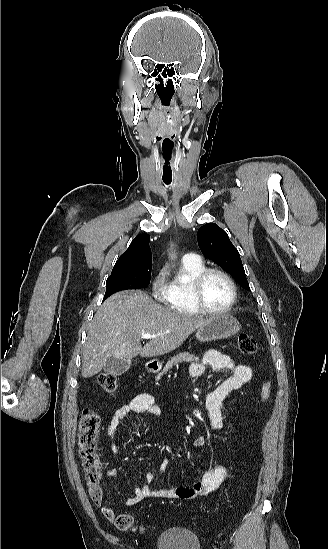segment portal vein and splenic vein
Listing matches in <instances>:
<instances>
[{"instance_id": "1", "label": "portal vein and splenic vein", "mask_w": 328, "mask_h": 549, "mask_svg": "<svg viewBox=\"0 0 328 549\" xmlns=\"http://www.w3.org/2000/svg\"><path fill=\"white\" fill-rule=\"evenodd\" d=\"M161 335H164V333H161ZM155 337H159V335H142L141 339H155Z\"/></svg>"}]
</instances>
